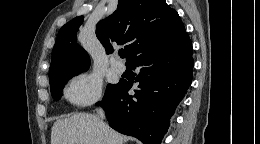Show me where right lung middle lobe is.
<instances>
[{
  "label": "right lung middle lobe",
  "instance_id": "right-lung-middle-lobe-1",
  "mask_svg": "<svg viewBox=\"0 0 260 144\" xmlns=\"http://www.w3.org/2000/svg\"><path fill=\"white\" fill-rule=\"evenodd\" d=\"M89 67L85 68H78V69H70V70H65L61 72L54 73L49 76V81H50V87H51V92L52 96L55 100H59L61 97V91L67 81L72 78L73 76H76L80 74L81 72H84L88 69ZM115 84H108L106 92L109 91L112 87H114ZM105 92V93H106Z\"/></svg>",
  "mask_w": 260,
  "mask_h": 144
}]
</instances>
